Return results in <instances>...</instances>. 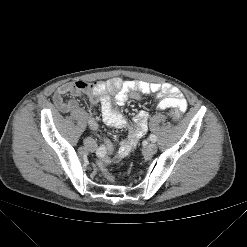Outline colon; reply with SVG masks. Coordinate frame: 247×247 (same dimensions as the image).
I'll list each match as a JSON object with an SVG mask.
<instances>
[{
	"instance_id": "1",
	"label": "colon",
	"mask_w": 247,
	"mask_h": 247,
	"mask_svg": "<svg viewBox=\"0 0 247 247\" xmlns=\"http://www.w3.org/2000/svg\"><path fill=\"white\" fill-rule=\"evenodd\" d=\"M93 85V84H92ZM169 116L171 117V119L175 122H179L180 118H181V114L178 110H171L169 112ZM99 168L100 171L102 172V174L109 180H112L113 177L111 175V173L107 170V168L105 167V165L102 162H99Z\"/></svg>"
}]
</instances>
